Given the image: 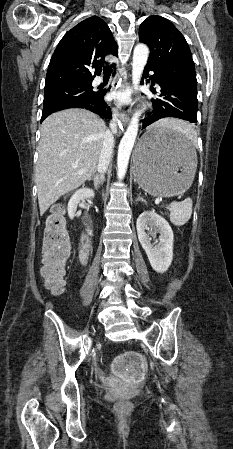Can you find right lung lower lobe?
I'll return each instance as SVG.
<instances>
[{"label": "right lung lower lobe", "instance_id": "right-lung-lower-lobe-1", "mask_svg": "<svg viewBox=\"0 0 233 449\" xmlns=\"http://www.w3.org/2000/svg\"><path fill=\"white\" fill-rule=\"evenodd\" d=\"M106 92H98L97 95L89 101H78V102H72L66 105H63L61 107L55 108L50 111H46L42 113L41 122L50 114L63 110L68 108H84L87 110H90L102 118H110L111 117V111L110 108L107 106L106 102L104 101V95Z\"/></svg>", "mask_w": 233, "mask_h": 449}]
</instances>
